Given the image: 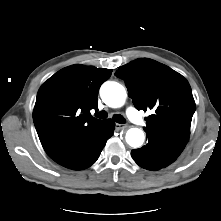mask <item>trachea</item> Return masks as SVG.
<instances>
[{"label":"trachea","instance_id":"trachea-1","mask_svg":"<svg viewBox=\"0 0 221 221\" xmlns=\"http://www.w3.org/2000/svg\"><path fill=\"white\" fill-rule=\"evenodd\" d=\"M97 117L100 119H106L108 117V113L106 111H100L97 114ZM113 120L119 124H124L125 123V118L121 114H115L113 116Z\"/></svg>","mask_w":221,"mask_h":221}]
</instances>
